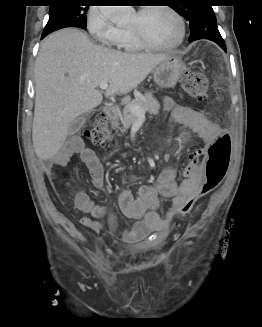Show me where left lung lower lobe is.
Returning <instances> with one entry per match:
<instances>
[{"label": "left lung lower lobe", "mask_w": 262, "mask_h": 327, "mask_svg": "<svg viewBox=\"0 0 262 327\" xmlns=\"http://www.w3.org/2000/svg\"><path fill=\"white\" fill-rule=\"evenodd\" d=\"M198 39L212 40V41L216 42L225 52L227 51L225 42L218 31L217 23L215 24V26H212L210 28L208 27L204 30L202 29V30L191 31L189 41L192 42V41H195Z\"/></svg>", "instance_id": "1"}]
</instances>
